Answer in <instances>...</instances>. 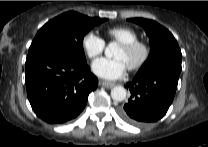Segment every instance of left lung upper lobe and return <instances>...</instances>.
<instances>
[{
  "label": "left lung upper lobe",
  "instance_id": "obj_1",
  "mask_svg": "<svg viewBox=\"0 0 208 147\" xmlns=\"http://www.w3.org/2000/svg\"><path fill=\"white\" fill-rule=\"evenodd\" d=\"M129 21L142 26L150 40L151 53L137 75H143L161 67H170L177 72H181L182 54L170 31L149 19L132 18Z\"/></svg>",
  "mask_w": 208,
  "mask_h": 147
}]
</instances>
